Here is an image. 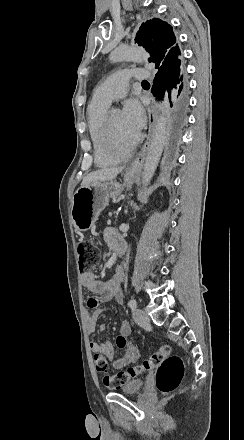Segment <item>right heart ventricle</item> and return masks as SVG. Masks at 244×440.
Returning a JSON list of instances; mask_svg holds the SVG:
<instances>
[{"mask_svg": "<svg viewBox=\"0 0 244 440\" xmlns=\"http://www.w3.org/2000/svg\"><path fill=\"white\" fill-rule=\"evenodd\" d=\"M110 104L104 102H91L87 108L88 127L91 140L95 148V162L100 168H112L118 165L123 160V155L118 151V146L111 145L104 147L102 144L101 125L104 121V116L109 109ZM130 134V132L128 131Z\"/></svg>", "mask_w": 244, "mask_h": 440, "instance_id": "1", "label": "right heart ventricle"}]
</instances>
